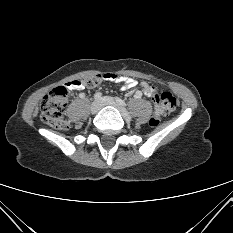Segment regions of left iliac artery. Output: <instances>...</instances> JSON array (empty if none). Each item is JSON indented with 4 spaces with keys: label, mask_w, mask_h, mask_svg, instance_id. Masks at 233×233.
Listing matches in <instances>:
<instances>
[{
    "label": "left iliac artery",
    "mask_w": 233,
    "mask_h": 233,
    "mask_svg": "<svg viewBox=\"0 0 233 233\" xmlns=\"http://www.w3.org/2000/svg\"><path fill=\"white\" fill-rule=\"evenodd\" d=\"M115 99H116V102H117L118 104H120L121 106H123V107H126V106H127V104H126L122 99H120V98H118V97H116Z\"/></svg>",
    "instance_id": "obj_1"
}]
</instances>
